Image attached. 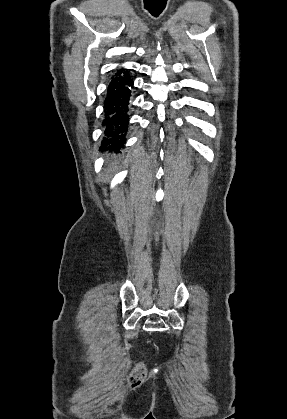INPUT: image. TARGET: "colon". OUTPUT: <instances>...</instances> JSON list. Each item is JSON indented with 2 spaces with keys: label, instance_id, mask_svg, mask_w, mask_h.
<instances>
[{
  "label": "colon",
  "instance_id": "obj_1",
  "mask_svg": "<svg viewBox=\"0 0 287 419\" xmlns=\"http://www.w3.org/2000/svg\"><path fill=\"white\" fill-rule=\"evenodd\" d=\"M146 376V367L143 364H137L130 376V382L132 385H139Z\"/></svg>",
  "mask_w": 287,
  "mask_h": 419
}]
</instances>
